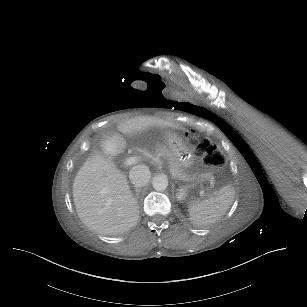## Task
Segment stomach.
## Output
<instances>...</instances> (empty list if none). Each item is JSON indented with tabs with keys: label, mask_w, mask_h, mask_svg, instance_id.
I'll list each match as a JSON object with an SVG mask.
<instances>
[{
	"label": "stomach",
	"mask_w": 307,
	"mask_h": 307,
	"mask_svg": "<svg viewBox=\"0 0 307 307\" xmlns=\"http://www.w3.org/2000/svg\"><path fill=\"white\" fill-rule=\"evenodd\" d=\"M168 139L172 156L182 172V176L178 178L187 182L196 180L198 175L194 168V147L182 135L169 134Z\"/></svg>",
	"instance_id": "stomach-1"
}]
</instances>
